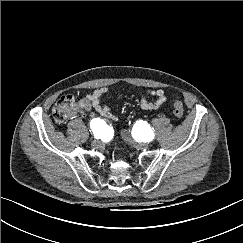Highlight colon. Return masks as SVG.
I'll return each instance as SVG.
<instances>
[{"instance_id":"colon-1","label":"colon","mask_w":243,"mask_h":243,"mask_svg":"<svg viewBox=\"0 0 243 243\" xmlns=\"http://www.w3.org/2000/svg\"><path fill=\"white\" fill-rule=\"evenodd\" d=\"M77 99L73 95H63L55 103L52 109V115L57 123H63L68 120L74 113L77 106ZM173 113L177 118H182L184 115V107L181 101H174Z\"/></svg>"}]
</instances>
